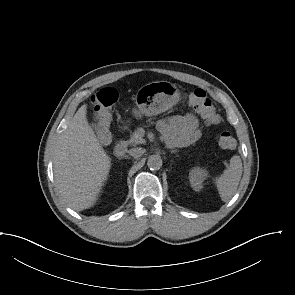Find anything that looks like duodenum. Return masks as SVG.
I'll list each match as a JSON object with an SVG mask.
<instances>
[{"instance_id":"duodenum-1","label":"duodenum","mask_w":295,"mask_h":295,"mask_svg":"<svg viewBox=\"0 0 295 295\" xmlns=\"http://www.w3.org/2000/svg\"><path fill=\"white\" fill-rule=\"evenodd\" d=\"M127 145L124 141H118L114 147V154L117 157H123L126 154Z\"/></svg>"}]
</instances>
